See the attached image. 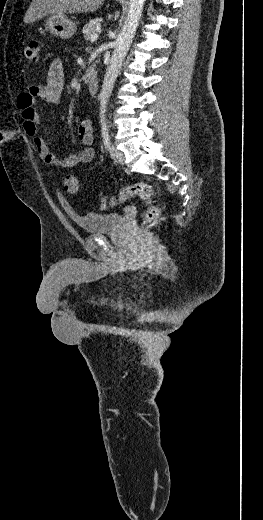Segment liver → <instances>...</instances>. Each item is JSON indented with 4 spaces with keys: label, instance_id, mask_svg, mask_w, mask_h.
Here are the masks:
<instances>
[{
    "label": "liver",
    "instance_id": "liver-1",
    "mask_svg": "<svg viewBox=\"0 0 263 520\" xmlns=\"http://www.w3.org/2000/svg\"><path fill=\"white\" fill-rule=\"evenodd\" d=\"M104 0H32L25 16L26 24L50 14H80L96 11Z\"/></svg>",
    "mask_w": 263,
    "mask_h": 520
}]
</instances>
